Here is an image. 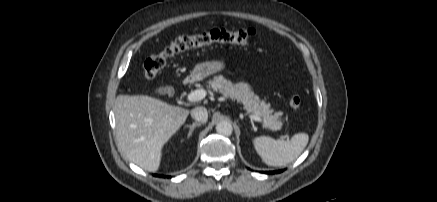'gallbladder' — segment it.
Instances as JSON below:
<instances>
[{"label":"gallbladder","instance_id":"obj_1","mask_svg":"<svg viewBox=\"0 0 437 202\" xmlns=\"http://www.w3.org/2000/svg\"><path fill=\"white\" fill-rule=\"evenodd\" d=\"M166 92V88L165 87H159L156 89V93L163 95Z\"/></svg>","mask_w":437,"mask_h":202}]
</instances>
